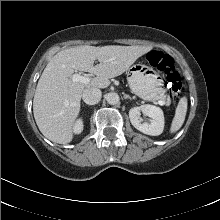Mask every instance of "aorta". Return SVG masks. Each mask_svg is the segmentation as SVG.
Masks as SVG:
<instances>
[{
  "label": "aorta",
  "mask_w": 220,
  "mask_h": 220,
  "mask_svg": "<svg viewBox=\"0 0 220 220\" xmlns=\"http://www.w3.org/2000/svg\"><path fill=\"white\" fill-rule=\"evenodd\" d=\"M106 100L109 104L111 105H116L120 101V97L117 93L115 92H110L106 95Z\"/></svg>",
  "instance_id": "1"
}]
</instances>
